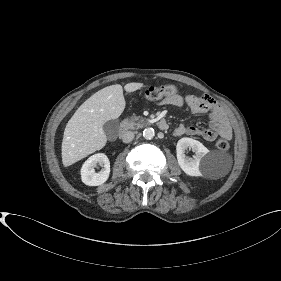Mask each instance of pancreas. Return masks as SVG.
<instances>
[{
  "label": "pancreas",
  "mask_w": 281,
  "mask_h": 281,
  "mask_svg": "<svg viewBox=\"0 0 281 281\" xmlns=\"http://www.w3.org/2000/svg\"><path fill=\"white\" fill-rule=\"evenodd\" d=\"M123 123L127 128L136 130V129L142 128L144 126L145 121L143 118L134 116L129 119H125L123 121Z\"/></svg>",
  "instance_id": "pancreas-1"
}]
</instances>
